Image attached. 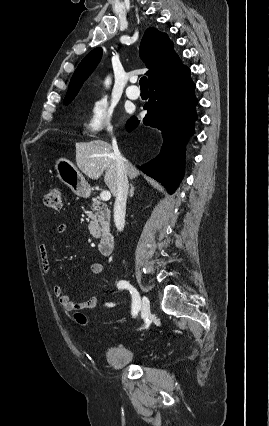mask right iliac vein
I'll list each match as a JSON object with an SVG mask.
<instances>
[{"label":"right iliac vein","instance_id":"1","mask_svg":"<svg viewBox=\"0 0 269 426\" xmlns=\"http://www.w3.org/2000/svg\"><path fill=\"white\" fill-rule=\"evenodd\" d=\"M149 315H150V301L146 296H144L141 302V317L143 319H146L149 317Z\"/></svg>","mask_w":269,"mask_h":426}]
</instances>
